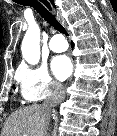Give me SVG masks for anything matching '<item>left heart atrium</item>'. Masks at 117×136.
<instances>
[{
  "mask_svg": "<svg viewBox=\"0 0 117 136\" xmlns=\"http://www.w3.org/2000/svg\"><path fill=\"white\" fill-rule=\"evenodd\" d=\"M52 70L59 80H65L71 73V62L65 55L57 56L52 61Z\"/></svg>",
  "mask_w": 117,
  "mask_h": 136,
  "instance_id": "left-heart-atrium-1",
  "label": "left heart atrium"
}]
</instances>
